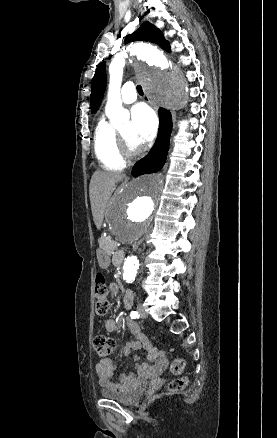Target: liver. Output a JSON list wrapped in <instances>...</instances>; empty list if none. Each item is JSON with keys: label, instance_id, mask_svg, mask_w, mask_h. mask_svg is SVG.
Here are the masks:
<instances>
[{"label": "liver", "instance_id": "liver-1", "mask_svg": "<svg viewBox=\"0 0 277 438\" xmlns=\"http://www.w3.org/2000/svg\"><path fill=\"white\" fill-rule=\"evenodd\" d=\"M126 178L121 172H94L90 182V202L94 224L101 230L104 212L117 182Z\"/></svg>", "mask_w": 277, "mask_h": 438}]
</instances>
